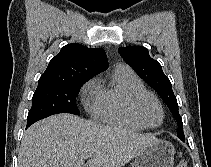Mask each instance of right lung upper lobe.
<instances>
[{
	"mask_svg": "<svg viewBox=\"0 0 211 167\" xmlns=\"http://www.w3.org/2000/svg\"><path fill=\"white\" fill-rule=\"evenodd\" d=\"M108 68L102 48H87L78 43L68 44L49 62L38 85L64 84L90 79Z\"/></svg>",
	"mask_w": 211,
	"mask_h": 167,
	"instance_id": "right-lung-upper-lobe-1",
	"label": "right lung upper lobe"
}]
</instances>
